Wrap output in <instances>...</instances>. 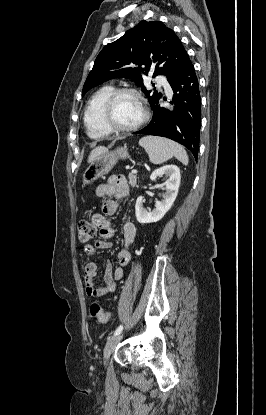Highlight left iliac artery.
I'll return each mask as SVG.
<instances>
[{"label": "left iliac artery", "mask_w": 266, "mask_h": 415, "mask_svg": "<svg viewBox=\"0 0 266 415\" xmlns=\"http://www.w3.org/2000/svg\"><path fill=\"white\" fill-rule=\"evenodd\" d=\"M122 330H123V326L122 325H120L115 331H114V335H118V334H120L121 332H122Z\"/></svg>", "instance_id": "left-iliac-artery-1"}]
</instances>
